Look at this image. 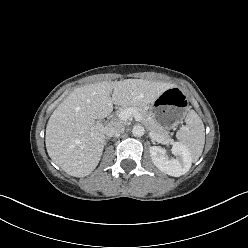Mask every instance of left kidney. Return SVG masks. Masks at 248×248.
Returning <instances> with one entry per match:
<instances>
[{"mask_svg":"<svg viewBox=\"0 0 248 248\" xmlns=\"http://www.w3.org/2000/svg\"><path fill=\"white\" fill-rule=\"evenodd\" d=\"M175 158L169 159L166 150L160 146L150 147V155L154 165L162 172L179 177L189 171L192 164V156L186 146L179 142L173 143L171 148Z\"/></svg>","mask_w":248,"mask_h":248,"instance_id":"1","label":"left kidney"}]
</instances>
